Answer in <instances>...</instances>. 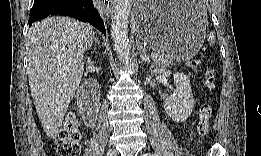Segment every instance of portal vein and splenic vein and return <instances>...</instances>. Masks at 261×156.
Instances as JSON below:
<instances>
[{"label":"portal vein and splenic vein","mask_w":261,"mask_h":156,"mask_svg":"<svg viewBox=\"0 0 261 156\" xmlns=\"http://www.w3.org/2000/svg\"><path fill=\"white\" fill-rule=\"evenodd\" d=\"M157 57H158V53H152V54H151V58H152L153 60L157 59Z\"/></svg>","instance_id":"obj_1"}]
</instances>
